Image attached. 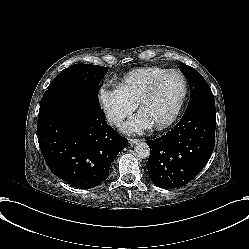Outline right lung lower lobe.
I'll return each instance as SVG.
<instances>
[{
	"label": "right lung lower lobe",
	"mask_w": 249,
	"mask_h": 249,
	"mask_svg": "<svg viewBox=\"0 0 249 249\" xmlns=\"http://www.w3.org/2000/svg\"><path fill=\"white\" fill-rule=\"evenodd\" d=\"M104 119L101 108L87 104L82 93H44L38 115V142L54 174L86 189L107 179L112 161L128 141Z\"/></svg>",
	"instance_id": "98d812e1"
}]
</instances>
